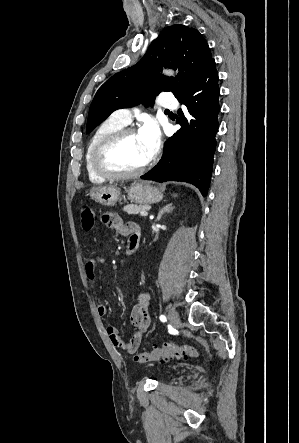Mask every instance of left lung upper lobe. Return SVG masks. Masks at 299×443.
<instances>
[{
    "mask_svg": "<svg viewBox=\"0 0 299 443\" xmlns=\"http://www.w3.org/2000/svg\"><path fill=\"white\" fill-rule=\"evenodd\" d=\"M214 60L203 36L193 28L173 25L161 32L136 65L109 78L90 106L86 132H91L113 111L149 103L162 91L182 95ZM178 69L174 77L158 73L162 67Z\"/></svg>",
    "mask_w": 299,
    "mask_h": 443,
    "instance_id": "1",
    "label": "left lung upper lobe"
}]
</instances>
